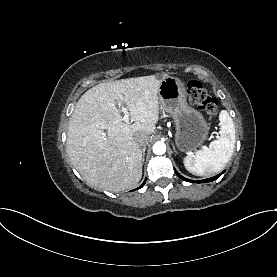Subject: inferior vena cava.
I'll return each mask as SVG.
<instances>
[{
    "instance_id": "1",
    "label": "inferior vena cava",
    "mask_w": 277,
    "mask_h": 277,
    "mask_svg": "<svg viewBox=\"0 0 277 277\" xmlns=\"http://www.w3.org/2000/svg\"><path fill=\"white\" fill-rule=\"evenodd\" d=\"M135 142L140 146H146L149 142V136L144 133H138L135 135Z\"/></svg>"
}]
</instances>
